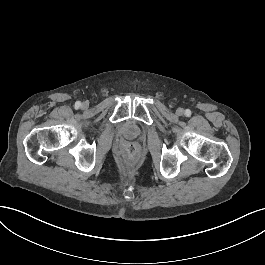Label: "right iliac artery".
<instances>
[{
	"mask_svg": "<svg viewBox=\"0 0 265 265\" xmlns=\"http://www.w3.org/2000/svg\"><path fill=\"white\" fill-rule=\"evenodd\" d=\"M80 106H81V102L80 101H77L75 103V109H78Z\"/></svg>",
	"mask_w": 265,
	"mask_h": 265,
	"instance_id": "obj_1",
	"label": "right iliac artery"
}]
</instances>
